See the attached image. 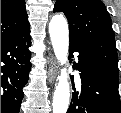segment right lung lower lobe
<instances>
[{"instance_id":"98d812e1","label":"right lung lower lobe","mask_w":121,"mask_h":113,"mask_svg":"<svg viewBox=\"0 0 121 113\" xmlns=\"http://www.w3.org/2000/svg\"><path fill=\"white\" fill-rule=\"evenodd\" d=\"M30 29L1 42V113H19L31 70Z\"/></svg>"}]
</instances>
